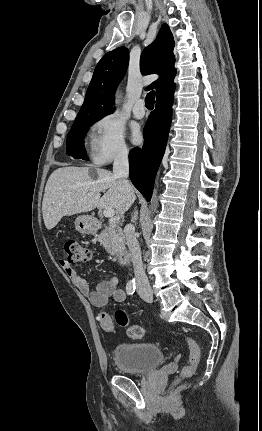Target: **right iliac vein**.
I'll use <instances>...</instances> for the list:
<instances>
[{
    "label": "right iliac vein",
    "mask_w": 262,
    "mask_h": 431,
    "mask_svg": "<svg viewBox=\"0 0 262 431\" xmlns=\"http://www.w3.org/2000/svg\"><path fill=\"white\" fill-rule=\"evenodd\" d=\"M140 294H141V296H142V297H144V298H147V299L152 298V293H151V292H148V293H143V292H141Z\"/></svg>",
    "instance_id": "obj_1"
}]
</instances>
